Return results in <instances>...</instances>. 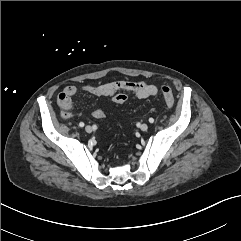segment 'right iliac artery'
<instances>
[{"mask_svg":"<svg viewBox=\"0 0 241 241\" xmlns=\"http://www.w3.org/2000/svg\"><path fill=\"white\" fill-rule=\"evenodd\" d=\"M84 125H85V124H84L83 122H80V123H79V126H80V127H84Z\"/></svg>","mask_w":241,"mask_h":241,"instance_id":"1","label":"right iliac artery"}]
</instances>
